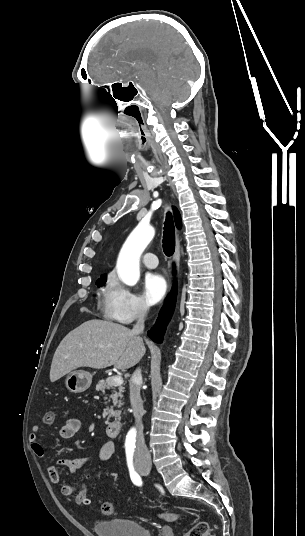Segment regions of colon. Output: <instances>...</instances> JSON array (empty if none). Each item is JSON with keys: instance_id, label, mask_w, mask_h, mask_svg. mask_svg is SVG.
Segmentation results:
<instances>
[{"instance_id": "1", "label": "colon", "mask_w": 305, "mask_h": 536, "mask_svg": "<svg viewBox=\"0 0 305 536\" xmlns=\"http://www.w3.org/2000/svg\"><path fill=\"white\" fill-rule=\"evenodd\" d=\"M54 418V412L48 411L46 413V420L48 422H52ZM88 498V492L86 488H83L80 490V492L77 494L76 500H74V503L76 505L81 506L87 502ZM81 509H83V506H81ZM102 512L105 514H114L115 508L112 502L110 501H104L102 504ZM158 518L169 521V522H176L180 520V515L175 513H160L158 514ZM185 536H210V530L205 522H198L193 528L188 531Z\"/></svg>"}]
</instances>
